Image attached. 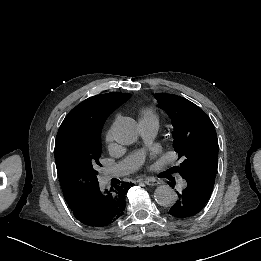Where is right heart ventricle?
Wrapping results in <instances>:
<instances>
[{"instance_id":"e07e8e85","label":"right heart ventricle","mask_w":261,"mask_h":261,"mask_svg":"<svg viewBox=\"0 0 261 261\" xmlns=\"http://www.w3.org/2000/svg\"><path fill=\"white\" fill-rule=\"evenodd\" d=\"M157 112L152 107H147L141 111L139 121H153L157 123Z\"/></svg>"}]
</instances>
